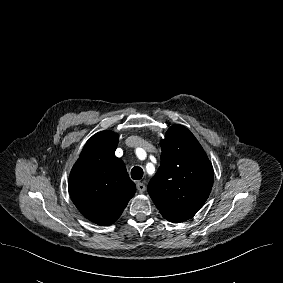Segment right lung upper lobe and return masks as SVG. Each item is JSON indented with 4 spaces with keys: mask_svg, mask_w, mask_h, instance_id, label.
I'll list each match as a JSON object with an SVG mask.
<instances>
[{
    "mask_svg": "<svg viewBox=\"0 0 283 283\" xmlns=\"http://www.w3.org/2000/svg\"><path fill=\"white\" fill-rule=\"evenodd\" d=\"M118 134L93 135L73 166L68 190L77 209L90 221L109 226L122 214L136 186L125 165L115 156Z\"/></svg>",
    "mask_w": 283,
    "mask_h": 283,
    "instance_id": "obj_1",
    "label": "right lung upper lobe"
}]
</instances>
